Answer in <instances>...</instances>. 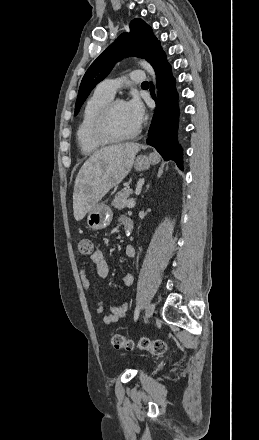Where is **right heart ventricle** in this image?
<instances>
[{
  "instance_id": "e07e8e85",
  "label": "right heart ventricle",
  "mask_w": 259,
  "mask_h": 440,
  "mask_svg": "<svg viewBox=\"0 0 259 440\" xmlns=\"http://www.w3.org/2000/svg\"><path fill=\"white\" fill-rule=\"evenodd\" d=\"M112 98L96 89L84 104L76 130L77 144L83 154H92L106 145L93 139L90 128L97 113Z\"/></svg>"
}]
</instances>
